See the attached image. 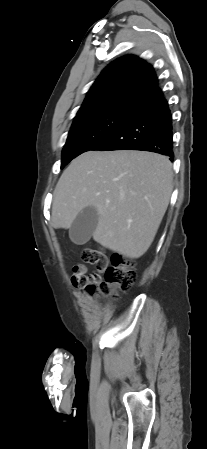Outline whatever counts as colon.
I'll use <instances>...</instances> for the list:
<instances>
[{
    "label": "colon",
    "mask_w": 207,
    "mask_h": 449,
    "mask_svg": "<svg viewBox=\"0 0 207 449\" xmlns=\"http://www.w3.org/2000/svg\"><path fill=\"white\" fill-rule=\"evenodd\" d=\"M83 262L94 265L96 272L91 277V283L87 284V291L91 294L99 293L104 297L116 298L118 290H129L136 282V272L133 263L121 255L114 254L109 259L98 248H83L80 253ZM103 276V280L95 285Z\"/></svg>",
    "instance_id": "1"
}]
</instances>
